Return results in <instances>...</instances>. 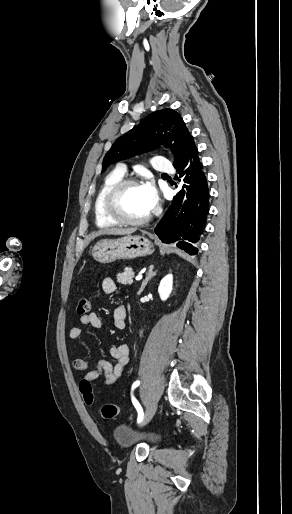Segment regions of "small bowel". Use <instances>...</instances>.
Here are the masks:
<instances>
[{
  "instance_id": "small-bowel-1",
  "label": "small bowel",
  "mask_w": 292,
  "mask_h": 514,
  "mask_svg": "<svg viewBox=\"0 0 292 514\" xmlns=\"http://www.w3.org/2000/svg\"><path fill=\"white\" fill-rule=\"evenodd\" d=\"M102 289L106 294H115L118 290L116 282L106 277L102 280ZM126 317L127 309L124 305H116L113 309V324L118 330H124L126 328ZM82 325L91 326L94 329H100L102 327V321L98 314L89 313L83 315L80 318ZM83 335V330L80 327H72L69 330L68 336L72 340H77ZM110 355L114 358L115 362L111 363L105 360L99 361L96 368L90 369L89 363L82 359L76 358L72 362V367L76 371L86 373L83 376V380L89 381L90 383L103 376V385H112L116 383L124 368L129 362V347L126 344L114 345L110 348Z\"/></svg>"
}]
</instances>
